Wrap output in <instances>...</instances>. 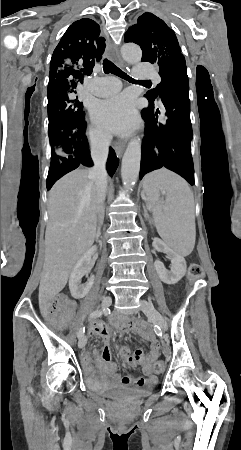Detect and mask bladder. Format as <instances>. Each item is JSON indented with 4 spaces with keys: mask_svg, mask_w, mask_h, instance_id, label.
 <instances>
[{
    "mask_svg": "<svg viewBox=\"0 0 241 450\" xmlns=\"http://www.w3.org/2000/svg\"><path fill=\"white\" fill-rule=\"evenodd\" d=\"M106 394L114 399H133L139 397L137 392L123 385L109 386L106 389Z\"/></svg>",
    "mask_w": 241,
    "mask_h": 450,
    "instance_id": "1",
    "label": "bladder"
}]
</instances>
